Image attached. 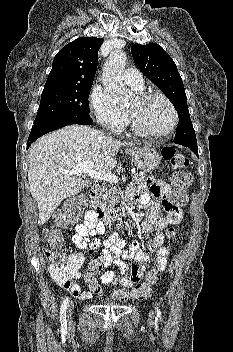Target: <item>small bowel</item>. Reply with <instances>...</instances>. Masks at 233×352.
Returning <instances> with one entry per match:
<instances>
[{
    "label": "small bowel",
    "instance_id": "small-bowel-1",
    "mask_svg": "<svg viewBox=\"0 0 233 352\" xmlns=\"http://www.w3.org/2000/svg\"><path fill=\"white\" fill-rule=\"evenodd\" d=\"M170 193L169 185L154 177L149 178L145 184L129 193L130 198L142 205H147L152 198L155 199L149 217L142 223V229L145 233L144 238L147 241L146 251L140 249L136 241L131 243L128 250L124 249L126 242L116 232L101 243L96 235L104 233L105 226L97 221L94 211H87L84 221L75 226V233L72 236L75 247L86 250L89 255H93L102 245L105 267L115 265L120 271L119 276L112 270L104 272L101 276L103 284H120L124 287L134 285L141 280L147 268V262L153 255H156L155 264L162 269L166 266L169 251L162 246L163 231L169 225L177 224L182 219L180 206L169 202ZM124 259L135 260L137 263L128 266ZM84 261L85 255L82 252L71 253L68 256V262L74 269L72 276L66 280H56L65 290L81 300L92 298L90 291H82L75 282V279L81 277L80 268Z\"/></svg>",
    "mask_w": 233,
    "mask_h": 352
}]
</instances>
